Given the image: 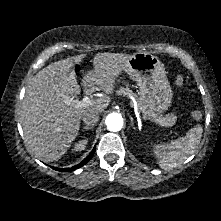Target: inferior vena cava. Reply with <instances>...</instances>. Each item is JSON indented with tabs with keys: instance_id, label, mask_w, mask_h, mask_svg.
Returning a JSON list of instances; mask_svg holds the SVG:
<instances>
[{
	"instance_id": "1",
	"label": "inferior vena cava",
	"mask_w": 221,
	"mask_h": 221,
	"mask_svg": "<svg viewBox=\"0 0 221 221\" xmlns=\"http://www.w3.org/2000/svg\"><path fill=\"white\" fill-rule=\"evenodd\" d=\"M82 119L87 126H94L99 121V113L96 111L87 112Z\"/></svg>"
}]
</instances>
